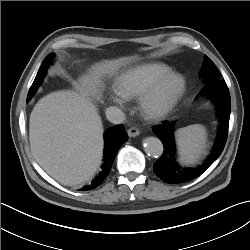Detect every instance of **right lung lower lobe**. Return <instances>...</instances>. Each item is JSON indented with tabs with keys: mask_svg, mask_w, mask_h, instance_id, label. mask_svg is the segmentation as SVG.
Listing matches in <instances>:
<instances>
[{
	"mask_svg": "<svg viewBox=\"0 0 250 250\" xmlns=\"http://www.w3.org/2000/svg\"><path fill=\"white\" fill-rule=\"evenodd\" d=\"M128 136L122 125L113 126L107 129L104 133L105 148L104 159L99 174L87 186H84L81 191L91 190L98 187L110 173L111 166L115 159L118 149L126 142Z\"/></svg>",
	"mask_w": 250,
	"mask_h": 250,
	"instance_id": "obj_1",
	"label": "right lung lower lobe"
}]
</instances>
